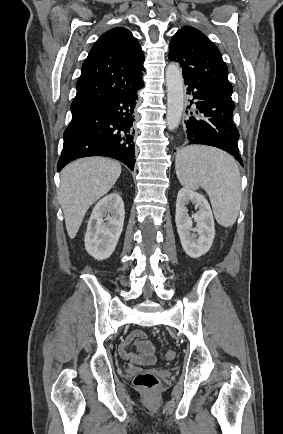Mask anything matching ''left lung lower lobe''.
<instances>
[{
    "label": "left lung lower lobe",
    "instance_id": "0a47b994",
    "mask_svg": "<svg viewBox=\"0 0 283 434\" xmlns=\"http://www.w3.org/2000/svg\"><path fill=\"white\" fill-rule=\"evenodd\" d=\"M184 82L195 107L190 112L192 116L185 120L188 144L220 148L243 165L237 146L239 132L232 119L235 105L231 95L189 76H184Z\"/></svg>",
    "mask_w": 283,
    "mask_h": 434
}]
</instances>
